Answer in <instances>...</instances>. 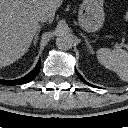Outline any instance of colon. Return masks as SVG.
<instances>
[{"mask_svg":"<svg viewBox=\"0 0 128 128\" xmlns=\"http://www.w3.org/2000/svg\"><path fill=\"white\" fill-rule=\"evenodd\" d=\"M125 19L128 21V10L125 12Z\"/></svg>","mask_w":128,"mask_h":128,"instance_id":"5ec220e1","label":"colon"}]
</instances>
